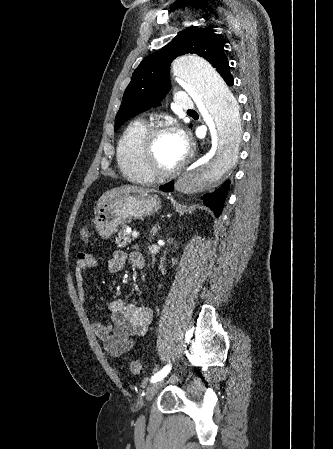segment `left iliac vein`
<instances>
[{
    "instance_id": "obj_1",
    "label": "left iliac vein",
    "mask_w": 333,
    "mask_h": 449,
    "mask_svg": "<svg viewBox=\"0 0 333 449\" xmlns=\"http://www.w3.org/2000/svg\"><path fill=\"white\" fill-rule=\"evenodd\" d=\"M164 381L160 380L157 382H153L152 384H150L146 390V401L149 403L154 396L157 394V392L159 391V389L163 386Z\"/></svg>"
}]
</instances>
